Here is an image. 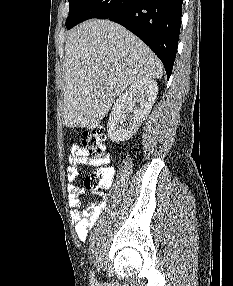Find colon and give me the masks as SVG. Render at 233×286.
I'll return each mask as SVG.
<instances>
[{
  "label": "colon",
  "mask_w": 233,
  "mask_h": 286,
  "mask_svg": "<svg viewBox=\"0 0 233 286\" xmlns=\"http://www.w3.org/2000/svg\"><path fill=\"white\" fill-rule=\"evenodd\" d=\"M83 146L89 156L106 160L105 134L101 128H93L83 132ZM113 172L108 167H100L90 173L84 180V187L89 190H103L110 187Z\"/></svg>",
  "instance_id": "5ec220e1"
}]
</instances>
